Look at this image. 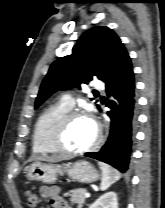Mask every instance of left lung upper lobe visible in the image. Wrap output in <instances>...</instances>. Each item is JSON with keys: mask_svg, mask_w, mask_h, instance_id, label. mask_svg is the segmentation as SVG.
Returning <instances> with one entry per match:
<instances>
[{"mask_svg": "<svg viewBox=\"0 0 165 208\" xmlns=\"http://www.w3.org/2000/svg\"><path fill=\"white\" fill-rule=\"evenodd\" d=\"M128 55L110 28L93 27L83 33L72 53L52 63L35 101L38 108L52 93L87 84L93 76L105 82ZM99 108V106L97 105Z\"/></svg>", "mask_w": 165, "mask_h": 208, "instance_id": "1", "label": "left lung upper lobe"}]
</instances>
